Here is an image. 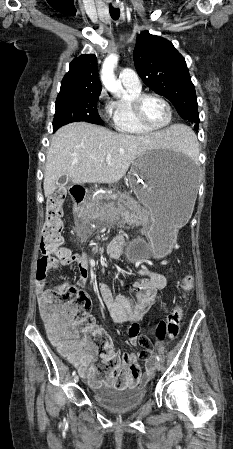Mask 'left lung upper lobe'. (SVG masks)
I'll return each mask as SVG.
<instances>
[{"label":"left lung upper lobe","instance_id":"obj_1","mask_svg":"<svg viewBox=\"0 0 233 449\" xmlns=\"http://www.w3.org/2000/svg\"><path fill=\"white\" fill-rule=\"evenodd\" d=\"M138 75L154 92L165 96L179 115L198 130L199 114L196 92L184 57L173 44L145 31L138 35L134 49Z\"/></svg>","mask_w":233,"mask_h":449}]
</instances>
